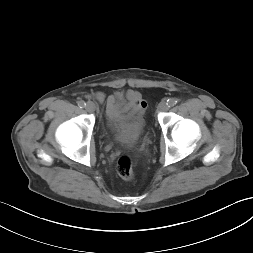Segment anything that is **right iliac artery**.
Wrapping results in <instances>:
<instances>
[{
  "instance_id": "82829eb1",
  "label": "right iliac artery",
  "mask_w": 253,
  "mask_h": 253,
  "mask_svg": "<svg viewBox=\"0 0 253 253\" xmlns=\"http://www.w3.org/2000/svg\"><path fill=\"white\" fill-rule=\"evenodd\" d=\"M78 106H79L80 108H84V107L86 106V103H85L83 100L78 101Z\"/></svg>"
}]
</instances>
